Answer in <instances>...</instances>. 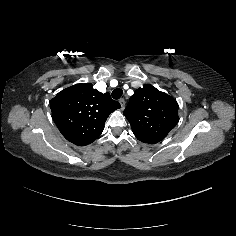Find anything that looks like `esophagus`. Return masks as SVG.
Segmentation results:
<instances>
[{"instance_id":"esophagus-1","label":"esophagus","mask_w":236,"mask_h":236,"mask_svg":"<svg viewBox=\"0 0 236 236\" xmlns=\"http://www.w3.org/2000/svg\"><path fill=\"white\" fill-rule=\"evenodd\" d=\"M119 103L121 105V109L124 110L125 107V100L123 98L119 99Z\"/></svg>"}]
</instances>
